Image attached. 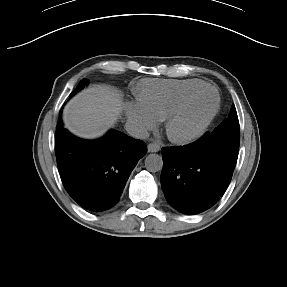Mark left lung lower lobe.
Masks as SVG:
<instances>
[{
  "instance_id": "left-lung-lower-lobe-1",
  "label": "left lung lower lobe",
  "mask_w": 287,
  "mask_h": 287,
  "mask_svg": "<svg viewBox=\"0 0 287 287\" xmlns=\"http://www.w3.org/2000/svg\"><path fill=\"white\" fill-rule=\"evenodd\" d=\"M239 145L205 134L185 146L162 148L161 188L169 204L184 214L212 207L227 189Z\"/></svg>"
}]
</instances>
